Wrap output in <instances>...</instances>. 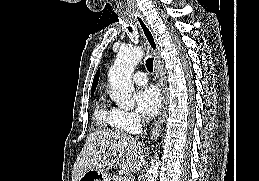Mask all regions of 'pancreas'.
I'll return each instance as SVG.
<instances>
[{"instance_id": "1", "label": "pancreas", "mask_w": 259, "mask_h": 181, "mask_svg": "<svg viewBox=\"0 0 259 181\" xmlns=\"http://www.w3.org/2000/svg\"><path fill=\"white\" fill-rule=\"evenodd\" d=\"M120 178H121L120 176L116 175V176H114L113 181H119Z\"/></svg>"}]
</instances>
